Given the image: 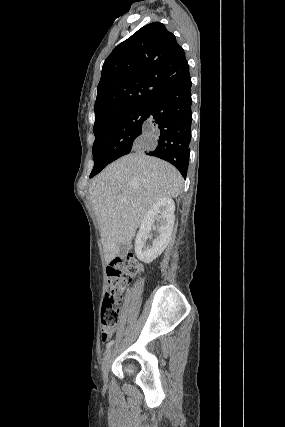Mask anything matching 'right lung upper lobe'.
Returning <instances> with one entry per match:
<instances>
[{
    "instance_id": "obj_1",
    "label": "right lung upper lobe",
    "mask_w": 285,
    "mask_h": 427,
    "mask_svg": "<svg viewBox=\"0 0 285 427\" xmlns=\"http://www.w3.org/2000/svg\"><path fill=\"white\" fill-rule=\"evenodd\" d=\"M189 74L176 37L162 23L148 24L119 44L103 64L94 127L127 109L147 104Z\"/></svg>"
}]
</instances>
